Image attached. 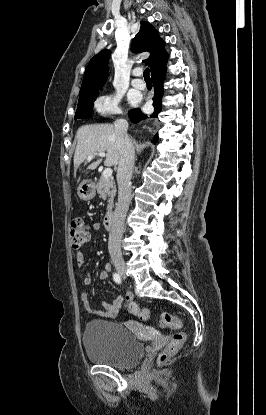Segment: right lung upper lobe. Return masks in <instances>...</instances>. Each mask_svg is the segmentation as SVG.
<instances>
[{"label": "right lung upper lobe", "instance_id": "1", "mask_svg": "<svg viewBox=\"0 0 266 415\" xmlns=\"http://www.w3.org/2000/svg\"><path fill=\"white\" fill-rule=\"evenodd\" d=\"M133 52H150L145 60L150 67L151 76L164 68L168 55L165 51V42L158 32L148 22H141L140 30L132 43ZM110 50H103L94 56L84 73L79 97L85 96L101 89L108 76V61Z\"/></svg>", "mask_w": 266, "mask_h": 415}]
</instances>
